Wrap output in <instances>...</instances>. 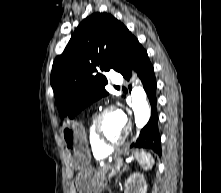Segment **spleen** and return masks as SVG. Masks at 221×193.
Segmentation results:
<instances>
[{
	"mask_svg": "<svg viewBox=\"0 0 221 193\" xmlns=\"http://www.w3.org/2000/svg\"><path fill=\"white\" fill-rule=\"evenodd\" d=\"M134 155H135V158L137 159V161L140 163L141 167L144 170L151 169L152 166L155 163V161H154L153 157L151 156V154H149L145 151L135 152Z\"/></svg>",
	"mask_w": 221,
	"mask_h": 193,
	"instance_id": "3e777b00",
	"label": "spleen"
}]
</instances>
